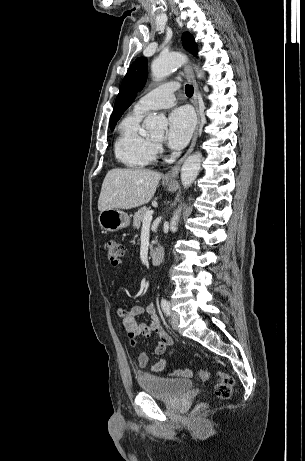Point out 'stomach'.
Returning <instances> with one entry per match:
<instances>
[{"instance_id": "0dacf381", "label": "stomach", "mask_w": 305, "mask_h": 461, "mask_svg": "<svg viewBox=\"0 0 305 461\" xmlns=\"http://www.w3.org/2000/svg\"><path fill=\"white\" fill-rule=\"evenodd\" d=\"M170 186V183L164 182ZM98 222L101 228L108 232H116L130 225V216L119 209H109L100 212Z\"/></svg>"}]
</instances>
